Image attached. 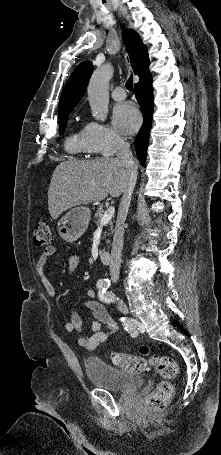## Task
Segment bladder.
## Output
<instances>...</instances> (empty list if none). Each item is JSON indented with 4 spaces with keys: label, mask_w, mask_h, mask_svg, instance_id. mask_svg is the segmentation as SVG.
Returning <instances> with one entry per match:
<instances>
[{
    "label": "bladder",
    "mask_w": 221,
    "mask_h": 455,
    "mask_svg": "<svg viewBox=\"0 0 221 455\" xmlns=\"http://www.w3.org/2000/svg\"><path fill=\"white\" fill-rule=\"evenodd\" d=\"M90 381L114 392H129L142 388L144 379L136 374L123 372L104 362L86 359L84 363Z\"/></svg>",
    "instance_id": "1"
}]
</instances>
